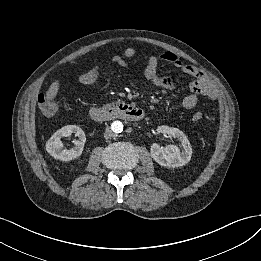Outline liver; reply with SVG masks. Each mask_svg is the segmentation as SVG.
<instances>
[{"mask_svg":"<svg viewBox=\"0 0 261 261\" xmlns=\"http://www.w3.org/2000/svg\"><path fill=\"white\" fill-rule=\"evenodd\" d=\"M59 90V81L56 80L55 82H53L48 91L46 92V101L47 103H49L50 101L54 100V98L56 97L57 93Z\"/></svg>","mask_w":261,"mask_h":261,"instance_id":"liver-1","label":"liver"}]
</instances>
